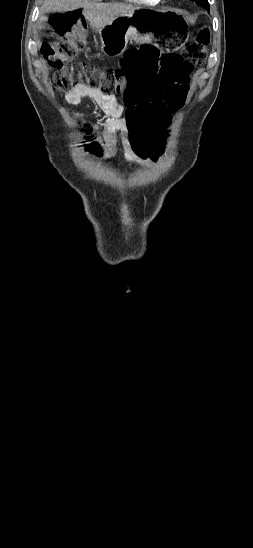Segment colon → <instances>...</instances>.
Instances as JSON below:
<instances>
[{"instance_id":"colon-1","label":"colon","mask_w":253,"mask_h":548,"mask_svg":"<svg viewBox=\"0 0 253 548\" xmlns=\"http://www.w3.org/2000/svg\"><path fill=\"white\" fill-rule=\"evenodd\" d=\"M52 23L58 39L46 44L42 54L53 69L54 89L69 92L82 83L104 94L121 93L135 156L156 158L162 151L157 141L164 139L162 128L173 126V113L183 107L191 85L190 73L206 57L207 32L201 31L180 54L165 55L164 60H152L158 56L156 50L143 45L129 50L119 68H104L76 60L78 50L85 45L81 12L57 13ZM90 151L98 153L96 142L90 143Z\"/></svg>"}]
</instances>
